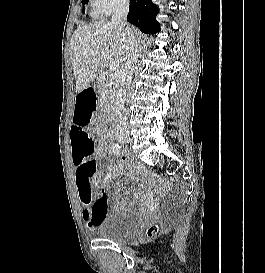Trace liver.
Segmentation results:
<instances>
[{"mask_svg": "<svg viewBox=\"0 0 265 273\" xmlns=\"http://www.w3.org/2000/svg\"><path fill=\"white\" fill-rule=\"evenodd\" d=\"M126 47V39L119 28L108 20L79 26L70 46L76 93L87 89L113 57L122 63Z\"/></svg>", "mask_w": 265, "mask_h": 273, "instance_id": "1", "label": "liver"}]
</instances>
